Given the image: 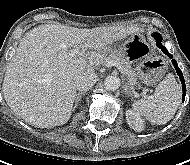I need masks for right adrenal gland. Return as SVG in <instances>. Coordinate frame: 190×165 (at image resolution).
<instances>
[{"instance_id":"right-adrenal-gland-1","label":"right adrenal gland","mask_w":190,"mask_h":165,"mask_svg":"<svg viewBox=\"0 0 190 165\" xmlns=\"http://www.w3.org/2000/svg\"><path fill=\"white\" fill-rule=\"evenodd\" d=\"M85 94V92H79L76 94V97H75V104H74V107H73V110H75V108H77L78 106V103L80 102L82 96Z\"/></svg>"}]
</instances>
